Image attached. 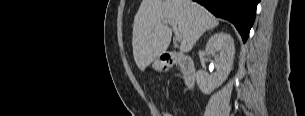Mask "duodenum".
Segmentation results:
<instances>
[{"instance_id":"1","label":"duodenum","mask_w":305,"mask_h":116,"mask_svg":"<svg viewBox=\"0 0 305 116\" xmlns=\"http://www.w3.org/2000/svg\"><path fill=\"white\" fill-rule=\"evenodd\" d=\"M162 62L166 67L179 65L183 73V80L188 89H191L195 83V67L192 59L183 54H173L166 51L161 56Z\"/></svg>"}]
</instances>
